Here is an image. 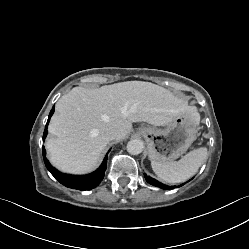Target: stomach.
<instances>
[{
  "label": "stomach",
  "mask_w": 249,
  "mask_h": 249,
  "mask_svg": "<svg viewBox=\"0 0 249 249\" xmlns=\"http://www.w3.org/2000/svg\"><path fill=\"white\" fill-rule=\"evenodd\" d=\"M198 112L177 115L165 128H140L151 161L171 162L182 156L197 138Z\"/></svg>",
  "instance_id": "0dacf381"
}]
</instances>
